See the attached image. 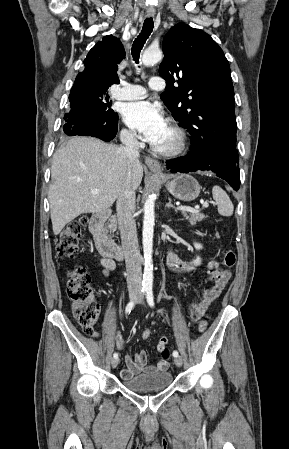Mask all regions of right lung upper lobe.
Listing matches in <instances>:
<instances>
[{"label": "right lung upper lobe", "mask_w": 289, "mask_h": 449, "mask_svg": "<svg viewBox=\"0 0 289 449\" xmlns=\"http://www.w3.org/2000/svg\"><path fill=\"white\" fill-rule=\"evenodd\" d=\"M124 58L125 50L120 40L112 35L103 37L87 54L85 69L78 74L74 85L85 94L118 84V64Z\"/></svg>", "instance_id": "1"}]
</instances>
